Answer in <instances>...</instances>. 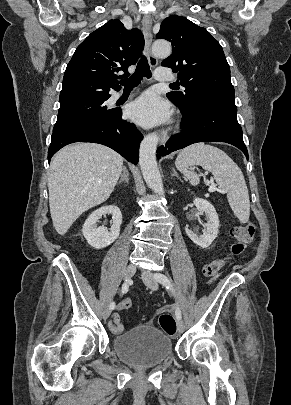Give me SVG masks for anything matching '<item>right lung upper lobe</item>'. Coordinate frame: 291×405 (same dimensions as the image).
<instances>
[{"instance_id": "1", "label": "right lung upper lobe", "mask_w": 291, "mask_h": 405, "mask_svg": "<svg viewBox=\"0 0 291 405\" xmlns=\"http://www.w3.org/2000/svg\"><path fill=\"white\" fill-rule=\"evenodd\" d=\"M143 47L138 29L127 30L118 19L108 21L74 52L64 73L60 102L109 98L111 89H120L115 73L123 70L119 78L128 76L127 68L137 62Z\"/></svg>"}]
</instances>
